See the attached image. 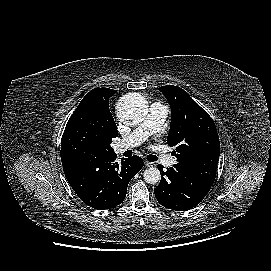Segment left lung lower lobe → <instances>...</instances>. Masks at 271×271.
Returning a JSON list of instances; mask_svg holds the SVG:
<instances>
[{"label": "left lung lower lobe", "instance_id": "left-lung-lower-lobe-1", "mask_svg": "<svg viewBox=\"0 0 271 271\" xmlns=\"http://www.w3.org/2000/svg\"><path fill=\"white\" fill-rule=\"evenodd\" d=\"M161 181L154 189L157 201L164 207L176 211H187L198 205L211 186L198 180L192 174L176 167L158 165Z\"/></svg>", "mask_w": 271, "mask_h": 271}]
</instances>
